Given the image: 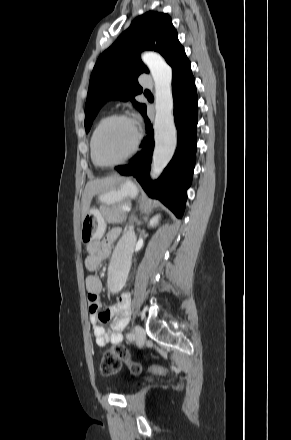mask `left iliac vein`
I'll use <instances>...</instances> for the list:
<instances>
[{
    "mask_svg": "<svg viewBox=\"0 0 291 440\" xmlns=\"http://www.w3.org/2000/svg\"><path fill=\"white\" fill-rule=\"evenodd\" d=\"M134 334H135V340H136L137 345L139 347H142L144 345V342H145V331H144V329L141 326L136 325L134 327Z\"/></svg>",
    "mask_w": 291,
    "mask_h": 440,
    "instance_id": "1",
    "label": "left iliac vein"
}]
</instances>
